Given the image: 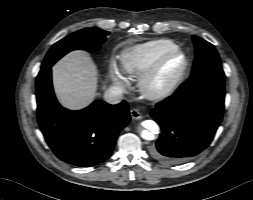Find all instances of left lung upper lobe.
Here are the masks:
<instances>
[{
	"instance_id": "1",
	"label": "left lung upper lobe",
	"mask_w": 253,
	"mask_h": 200,
	"mask_svg": "<svg viewBox=\"0 0 253 200\" xmlns=\"http://www.w3.org/2000/svg\"><path fill=\"white\" fill-rule=\"evenodd\" d=\"M192 38L195 45V60L191 75L185 83L191 85L205 78L224 80L221 61L214 46L196 36Z\"/></svg>"
}]
</instances>
